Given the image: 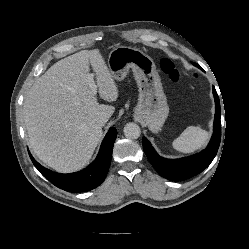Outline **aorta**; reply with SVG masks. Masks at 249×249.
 <instances>
[{
	"label": "aorta",
	"mask_w": 249,
	"mask_h": 249,
	"mask_svg": "<svg viewBox=\"0 0 249 249\" xmlns=\"http://www.w3.org/2000/svg\"><path fill=\"white\" fill-rule=\"evenodd\" d=\"M140 127L135 123H127L124 127V135L128 139H137L140 137Z\"/></svg>",
	"instance_id": "762f6f07"
}]
</instances>
